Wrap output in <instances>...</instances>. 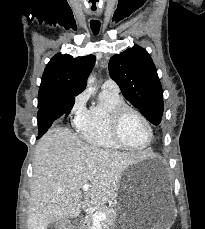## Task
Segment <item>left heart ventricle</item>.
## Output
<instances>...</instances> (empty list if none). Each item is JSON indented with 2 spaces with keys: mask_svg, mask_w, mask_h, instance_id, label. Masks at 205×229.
<instances>
[{
  "mask_svg": "<svg viewBox=\"0 0 205 229\" xmlns=\"http://www.w3.org/2000/svg\"><path fill=\"white\" fill-rule=\"evenodd\" d=\"M121 137L131 147H142L148 140V130L143 121L133 113H128L121 124Z\"/></svg>",
  "mask_w": 205,
  "mask_h": 229,
  "instance_id": "obj_1",
  "label": "left heart ventricle"
}]
</instances>
